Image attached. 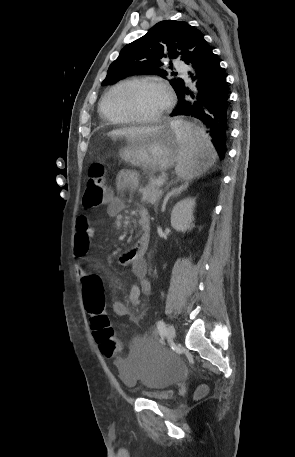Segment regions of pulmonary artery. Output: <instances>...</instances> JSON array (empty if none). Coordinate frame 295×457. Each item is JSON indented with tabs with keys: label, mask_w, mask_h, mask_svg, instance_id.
<instances>
[{
	"label": "pulmonary artery",
	"mask_w": 295,
	"mask_h": 457,
	"mask_svg": "<svg viewBox=\"0 0 295 457\" xmlns=\"http://www.w3.org/2000/svg\"><path fill=\"white\" fill-rule=\"evenodd\" d=\"M175 67H176V69L182 74V76H183L185 79H188L186 66H185L182 62L176 61V62H175Z\"/></svg>",
	"instance_id": "e3ab8cb5"
}]
</instances>
